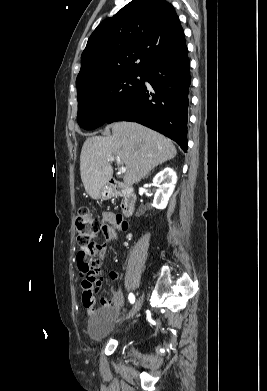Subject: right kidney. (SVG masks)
<instances>
[{
    "label": "right kidney",
    "mask_w": 267,
    "mask_h": 391,
    "mask_svg": "<svg viewBox=\"0 0 267 391\" xmlns=\"http://www.w3.org/2000/svg\"><path fill=\"white\" fill-rule=\"evenodd\" d=\"M177 182L176 172L171 168H165L153 179V184L158 187L153 200V207L165 209Z\"/></svg>",
    "instance_id": "obj_1"
}]
</instances>
